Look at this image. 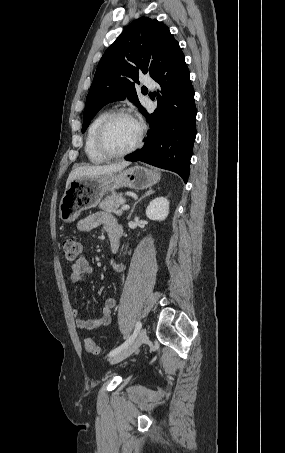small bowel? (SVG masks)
Returning a JSON list of instances; mask_svg holds the SVG:
<instances>
[{"mask_svg": "<svg viewBox=\"0 0 285 453\" xmlns=\"http://www.w3.org/2000/svg\"><path fill=\"white\" fill-rule=\"evenodd\" d=\"M99 226H103L111 242H120L122 237V227L117 220L106 212L93 213L83 219L77 224V229L80 232H89ZM113 268L119 272L125 270L122 264L111 262ZM93 266L89 263L84 255H80L74 261L71 267L70 279L73 283H81L93 273ZM116 298L109 297L106 299L102 308L101 315L96 318L83 319L80 318V312L74 308L72 313L76 318V326L80 329L93 330L101 326L110 324L112 320V310L116 306Z\"/></svg>", "mask_w": 285, "mask_h": 453, "instance_id": "c3829d8e", "label": "small bowel"}]
</instances>
